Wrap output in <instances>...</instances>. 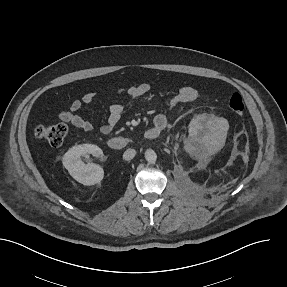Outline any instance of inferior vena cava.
I'll return each mask as SVG.
<instances>
[{"mask_svg": "<svg viewBox=\"0 0 287 287\" xmlns=\"http://www.w3.org/2000/svg\"><path fill=\"white\" fill-rule=\"evenodd\" d=\"M136 151L134 149H127L123 154V159L128 161L135 157Z\"/></svg>", "mask_w": 287, "mask_h": 287, "instance_id": "obj_1", "label": "inferior vena cava"}]
</instances>
